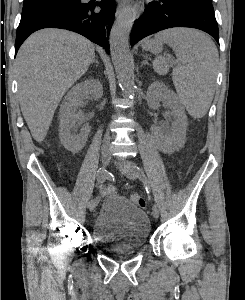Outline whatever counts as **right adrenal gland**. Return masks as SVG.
Returning <instances> with one entry per match:
<instances>
[{
	"label": "right adrenal gland",
	"mask_w": 245,
	"mask_h": 300,
	"mask_svg": "<svg viewBox=\"0 0 245 300\" xmlns=\"http://www.w3.org/2000/svg\"><path fill=\"white\" fill-rule=\"evenodd\" d=\"M93 63H96L97 65L99 64L98 60H96L95 57H94V59L92 60L91 64H93Z\"/></svg>",
	"instance_id": "2a0ac1e0"
}]
</instances>
